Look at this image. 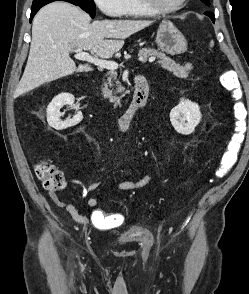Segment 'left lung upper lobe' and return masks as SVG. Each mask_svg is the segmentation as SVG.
<instances>
[{"mask_svg": "<svg viewBox=\"0 0 249 294\" xmlns=\"http://www.w3.org/2000/svg\"><path fill=\"white\" fill-rule=\"evenodd\" d=\"M203 3H205L206 5H210V2H209V0H201Z\"/></svg>", "mask_w": 249, "mask_h": 294, "instance_id": "5c2ea615", "label": "left lung upper lobe"}]
</instances>
